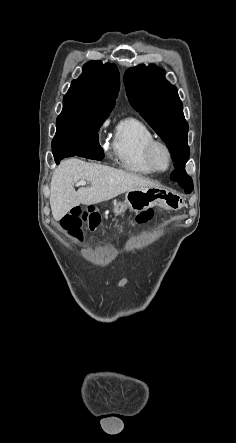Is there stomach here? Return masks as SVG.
Here are the masks:
<instances>
[{
	"mask_svg": "<svg viewBox=\"0 0 236 443\" xmlns=\"http://www.w3.org/2000/svg\"><path fill=\"white\" fill-rule=\"evenodd\" d=\"M157 205L169 210H179L183 204L179 196L160 186L136 188L127 191L123 202H115L112 211L115 215H122L127 209L140 212Z\"/></svg>",
	"mask_w": 236,
	"mask_h": 443,
	"instance_id": "1",
	"label": "stomach"
}]
</instances>
